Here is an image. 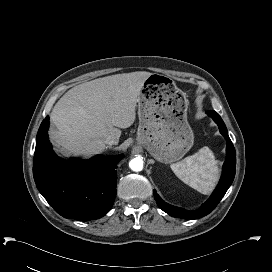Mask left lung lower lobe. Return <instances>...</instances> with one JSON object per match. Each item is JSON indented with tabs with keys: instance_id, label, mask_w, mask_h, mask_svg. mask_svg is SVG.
Instances as JSON below:
<instances>
[{
	"instance_id": "obj_1",
	"label": "left lung lower lobe",
	"mask_w": 272,
	"mask_h": 272,
	"mask_svg": "<svg viewBox=\"0 0 272 272\" xmlns=\"http://www.w3.org/2000/svg\"><path fill=\"white\" fill-rule=\"evenodd\" d=\"M213 120L217 123L221 134L227 140V157L226 161L223 165V173L220 179V182L216 189L214 190L211 197L201 206L200 209L196 211H186L182 208L175 207L172 205L167 204L164 202L159 195L154 190V198L158 204V206L169 214L172 217L184 218V219H197L209 214L220 202L222 197L225 195L226 191L232 184L235 176V169H236V154L234 146L228 136L227 128L219 116V114L215 111H207L206 112Z\"/></svg>"
}]
</instances>
